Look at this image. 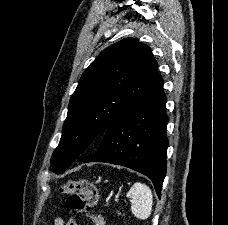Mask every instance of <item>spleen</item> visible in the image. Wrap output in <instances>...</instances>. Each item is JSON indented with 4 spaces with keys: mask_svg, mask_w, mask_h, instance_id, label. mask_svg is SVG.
Returning a JSON list of instances; mask_svg holds the SVG:
<instances>
[{
    "mask_svg": "<svg viewBox=\"0 0 228 225\" xmlns=\"http://www.w3.org/2000/svg\"><path fill=\"white\" fill-rule=\"evenodd\" d=\"M126 197L131 199V211L136 219H148L152 213L153 195L143 183H134Z\"/></svg>",
    "mask_w": 228,
    "mask_h": 225,
    "instance_id": "obj_1",
    "label": "spleen"
}]
</instances>
